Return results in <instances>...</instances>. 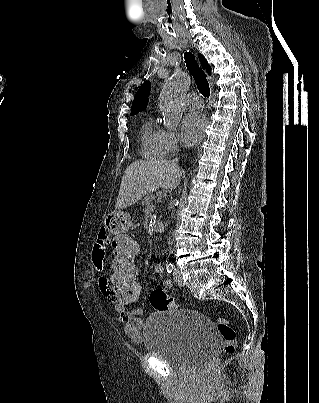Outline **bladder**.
<instances>
[{"label": "bladder", "mask_w": 319, "mask_h": 403, "mask_svg": "<svg viewBox=\"0 0 319 403\" xmlns=\"http://www.w3.org/2000/svg\"><path fill=\"white\" fill-rule=\"evenodd\" d=\"M143 340L148 353L184 372L204 365L221 345L212 322L193 310L152 313L145 322Z\"/></svg>", "instance_id": "bladder-1"}]
</instances>
